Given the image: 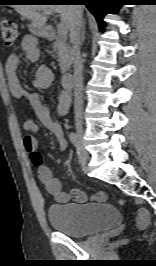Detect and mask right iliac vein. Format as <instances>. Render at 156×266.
I'll use <instances>...</instances> for the list:
<instances>
[{
    "mask_svg": "<svg viewBox=\"0 0 156 266\" xmlns=\"http://www.w3.org/2000/svg\"><path fill=\"white\" fill-rule=\"evenodd\" d=\"M76 132H77V135L79 137V141H80V148H81V159L83 161H86L88 159V153L84 150V147H83V127L80 123H76Z\"/></svg>",
    "mask_w": 156,
    "mask_h": 266,
    "instance_id": "obj_1",
    "label": "right iliac vein"
}]
</instances>
